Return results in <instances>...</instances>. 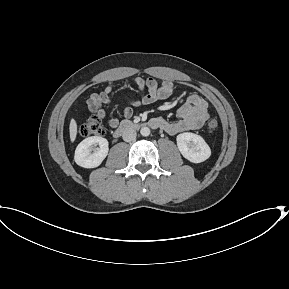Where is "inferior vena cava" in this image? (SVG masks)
<instances>
[{
  "label": "inferior vena cava",
  "instance_id": "1",
  "mask_svg": "<svg viewBox=\"0 0 289 289\" xmlns=\"http://www.w3.org/2000/svg\"><path fill=\"white\" fill-rule=\"evenodd\" d=\"M137 133L134 129L128 128L125 129L122 133V138L126 142H131L136 139Z\"/></svg>",
  "mask_w": 289,
  "mask_h": 289
}]
</instances>
